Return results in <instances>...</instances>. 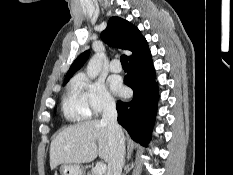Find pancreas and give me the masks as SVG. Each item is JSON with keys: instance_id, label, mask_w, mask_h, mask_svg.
<instances>
[{"instance_id": "pancreas-1", "label": "pancreas", "mask_w": 233, "mask_h": 175, "mask_svg": "<svg viewBox=\"0 0 233 175\" xmlns=\"http://www.w3.org/2000/svg\"><path fill=\"white\" fill-rule=\"evenodd\" d=\"M87 175H97L96 170H92L91 172H89Z\"/></svg>"}]
</instances>
